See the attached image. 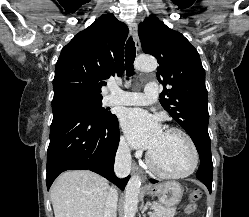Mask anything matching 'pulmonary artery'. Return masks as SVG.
<instances>
[{
    "instance_id": "obj_1",
    "label": "pulmonary artery",
    "mask_w": 249,
    "mask_h": 217,
    "mask_svg": "<svg viewBox=\"0 0 249 217\" xmlns=\"http://www.w3.org/2000/svg\"><path fill=\"white\" fill-rule=\"evenodd\" d=\"M158 98V87L148 83L143 92L119 91L109 98L110 105H148L155 103Z\"/></svg>"
}]
</instances>
